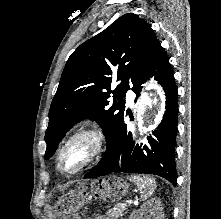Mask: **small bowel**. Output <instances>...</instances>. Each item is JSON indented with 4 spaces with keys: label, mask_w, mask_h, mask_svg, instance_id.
Returning <instances> with one entry per match:
<instances>
[{
    "label": "small bowel",
    "mask_w": 221,
    "mask_h": 219,
    "mask_svg": "<svg viewBox=\"0 0 221 219\" xmlns=\"http://www.w3.org/2000/svg\"><path fill=\"white\" fill-rule=\"evenodd\" d=\"M95 219H107V218H103V217H97V218H95Z\"/></svg>",
    "instance_id": "small-bowel-1"
}]
</instances>
